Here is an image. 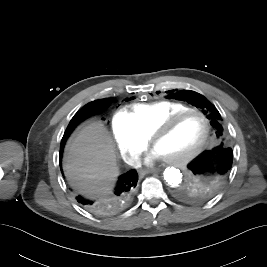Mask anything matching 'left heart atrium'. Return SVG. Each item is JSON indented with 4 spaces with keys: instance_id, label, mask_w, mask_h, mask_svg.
I'll return each instance as SVG.
<instances>
[{
    "instance_id": "39dd6f15",
    "label": "left heart atrium",
    "mask_w": 267,
    "mask_h": 267,
    "mask_svg": "<svg viewBox=\"0 0 267 267\" xmlns=\"http://www.w3.org/2000/svg\"><path fill=\"white\" fill-rule=\"evenodd\" d=\"M164 158V156L157 150V149H153L149 155V157L147 158V163H150L154 160H157V159H162Z\"/></svg>"
}]
</instances>
